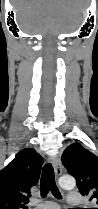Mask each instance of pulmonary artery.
Here are the masks:
<instances>
[{
	"mask_svg": "<svg viewBox=\"0 0 98 209\" xmlns=\"http://www.w3.org/2000/svg\"><path fill=\"white\" fill-rule=\"evenodd\" d=\"M66 201L71 206H77L82 203V198L80 197V194H77L76 192H70L67 195ZM34 209H59V206L55 202L47 201L38 205Z\"/></svg>",
	"mask_w": 98,
	"mask_h": 209,
	"instance_id": "obj_1",
	"label": "pulmonary artery"
}]
</instances>
